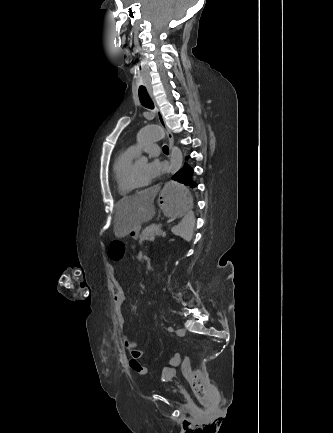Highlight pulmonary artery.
I'll return each instance as SVG.
<instances>
[{
    "label": "pulmonary artery",
    "mask_w": 333,
    "mask_h": 433,
    "mask_svg": "<svg viewBox=\"0 0 333 433\" xmlns=\"http://www.w3.org/2000/svg\"><path fill=\"white\" fill-rule=\"evenodd\" d=\"M130 149H131L133 152L138 151V147H137L136 145H132V146H130ZM143 151H146V152H148L149 154H152V155H157V154H159L160 149H159L158 145L153 144V143H148V144H146V145L143 147Z\"/></svg>",
    "instance_id": "obj_1"
}]
</instances>
